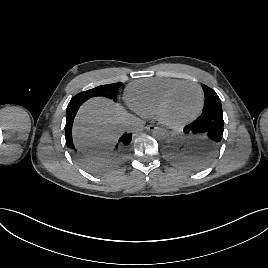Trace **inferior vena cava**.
Listing matches in <instances>:
<instances>
[{"label":"inferior vena cava","mask_w":268,"mask_h":268,"mask_svg":"<svg viewBox=\"0 0 268 268\" xmlns=\"http://www.w3.org/2000/svg\"><path fill=\"white\" fill-rule=\"evenodd\" d=\"M134 122H135L134 119L129 118V119L126 121V124H125L126 128H127V129H130V128L132 127V125H133Z\"/></svg>","instance_id":"1"}]
</instances>
